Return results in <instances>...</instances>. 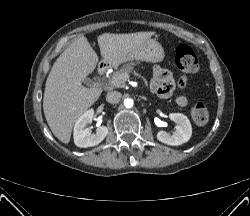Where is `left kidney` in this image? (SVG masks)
Segmentation results:
<instances>
[{"instance_id":"left-kidney-1","label":"left kidney","mask_w":250,"mask_h":216,"mask_svg":"<svg viewBox=\"0 0 250 216\" xmlns=\"http://www.w3.org/2000/svg\"><path fill=\"white\" fill-rule=\"evenodd\" d=\"M169 118L178 123L175 127V131L172 134L159 131L157 133V139L171 146H178L188 142L192 135V126L188 117L181 113H170Z\"/></svg>"}]
</instances>
